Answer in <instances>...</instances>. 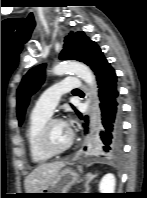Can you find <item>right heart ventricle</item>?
Instances as JSON below:
<instances>
[{"instance_id":"1","label":"right heart ventricle","mask_w":147,"mask_h":198,"mask_svg":"<svg viewBox=\"0 0 147 198\" xmlns=\"http://www.w3.org/2000/svg\"><path fill=\"white\" fill-rule=\"evenodd\" d=\"M49 119V115L32 111L25 130V139L28 153L32 162L41 164L48 161L51 156L40 147L39 136L43 124Z\"/></svg>"}]
</instances>
